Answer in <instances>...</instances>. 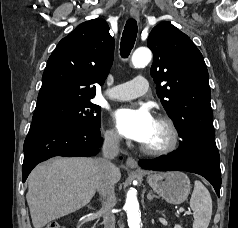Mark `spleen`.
<instances>
[{"label":"spleen","mask_w":238,"mask_h":228,"mask_svg":"<svg viewBox=\"0 0 238 228\" xmlns=\"http://www.w3.org/2000/svg\"><path fill=\"white\" fill-rule=\"evenodd\" d=\"M193 210V228H208L212 216V199L208 189L200 182H194V190L190 199Z\"/></svg>","instance_id":"obj_1"}]
</instances>
